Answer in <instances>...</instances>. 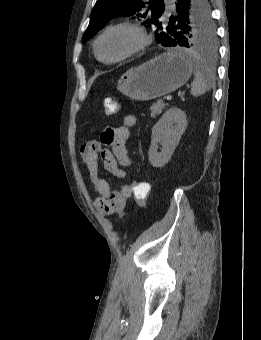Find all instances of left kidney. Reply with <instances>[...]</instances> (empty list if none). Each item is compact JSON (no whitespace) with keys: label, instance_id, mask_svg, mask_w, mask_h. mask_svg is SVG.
Here are the masks:
<instances>
[{"label":"left kidney","instance_id":"obj_1","mask_svg":"<svg viewBox=\"0 0 261 340\" xmlns=\"http://www.w3.org/2000/svg\"><path fill=\"white\" fill-rule=\"evenodd\" d=\"M187 127L186 114L177 107L167 110L152 128L148 159L153 167H164L178 146ZM158 144L162 146L158 152Z\"/></svg>","mask_w":261,"mask_h":340}]
</instances>
